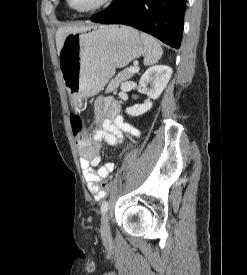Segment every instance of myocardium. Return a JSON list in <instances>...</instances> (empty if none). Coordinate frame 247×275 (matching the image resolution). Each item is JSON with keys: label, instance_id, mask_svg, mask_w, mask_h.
<instances>
[{"label": "myocardium", "instance_id": "f54148a6", "mask_svg": "<svg viewBox=\"0 0 247 275\" xmlns=\"http://www.w3.org/2000/svg\"><path fill=\"white\" fill-rule=\"evenodd\" d=\"M65 2L71 11L78 13V14H89V13H93L98 10H101L104 7L108 6L112 2V0H99L98 3H96L94 6L88 8V9H83V10L75 9L74 7H72L70 0H65Z\"/></svg>", "mask_w": 247, "mask_h": 275}]
</instances>
